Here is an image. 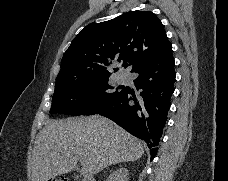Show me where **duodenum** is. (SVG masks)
<instances>
[{
    "mask_svg": "<svg viewBox=\"0 0 228 181\" xmlns=\"http://www.w3.org/2000/svg\"><path fill=\"white\" fill-rule=\"evenodd\" d=\"M74 179H83V174H74Z\"/></svg>",
    "mask_w": 228,
    "mask_h": 181,
    "instance_id": "410a0bca",
    "label": "duodenum"
}]
</instances>
